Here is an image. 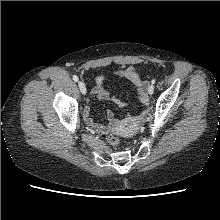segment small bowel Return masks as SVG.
<instances>
[{
    "mask_svg": "<svg viewBox=\"0 0 220 220\" xmlns=\"http://www.w3.org/2000/svg\"><path fill=\"white\" fill-rule=\"evenodd\" d=\"M113 74L119 78L125 79L132 83L137 92L139 99L143 105L148 104V96H147V81L143 80L139 75V72L134 67H127L121 70H117L113 72ZM105 76H98L96 79V86L91 90L89 100L91 99H107L111 100L118 107L123 108L126 104L113 95V93L105 86ZM113 115L109 113V117L111 118ZM83 117L86 124L94 128L96 131L100 133H105L107 130V126L99 124L94 121L91 116V108L89 102L86 104L83 110Z\"/></svg>",
    "mask_w": 220,
    "mask_h": 220,
    "instance_id": "1",
    "label": "small bowel"
}]
</instances>
